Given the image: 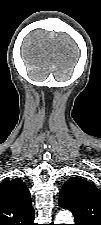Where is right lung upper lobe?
<instances>
[{
	"mask_svg": "<svg viewBox=\"0 0 101 225\" xmlns=\"http://www.w3.org/2000/svg\"><path fill=\"white\" fill-rule=\"evenodd\" d=\"M34 210L27 186L21 179L0 184V225H35Z\"/></svg>",
	"mask_w": 101,
	"mask_h": 225,
	"instance_id": "obj_1",
	"label": "right lung upper lobe"
}]
</instances>
